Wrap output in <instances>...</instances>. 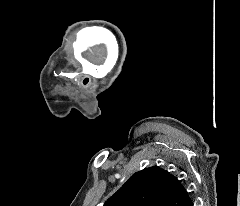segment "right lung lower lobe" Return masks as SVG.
<instances>
[{"instance_id":"right-lung-lower-lobe-1","label":"right lung lower lobe","mask_w":240,"mask_h":206,"mask_svg":"<svg viewBox=\"0 0 240 206\" xmlns=\"http://www.w3.org/2000/svg\"><path fill=\"white\" fill-rule=\"evenodd\" d=\"M187 206H193V203H192V201L187 205Z\"/></svg>"}]
</instances>
